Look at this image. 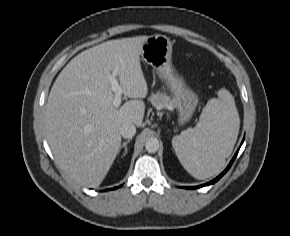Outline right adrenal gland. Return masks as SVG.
Instances as JSON below:
<instances>
[{
	"mask_svg": "<svg viewBox=\"0 0 290 236\" xmlns=\"http://www.w3.org/2000/svg\"><path fill=\"white\" fill-rule=\"evenodd\" d=\"M130 141H131V139L126 140V141H124L123 144L120 146V148H119V152H120V150H121L122 148H124V152H123L122 157L125 156V155L127 154V151H128L127 144H128Z\"/></svg>",
	"mask_w": 290,
	"mask_h": 236,
	"instance_id": "1",
	"label": "right adrenal gland"
}]
</instances>
